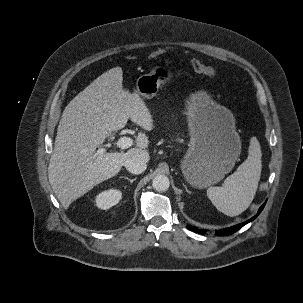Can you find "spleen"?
I'll return each mask as SVG.
<instances>
[{
  "mask_svg": "<svg viewBox=\"0 0 303 303\" xmlns=\"http://www.w3.org/2000/svg\"><path fill=\"white\" fill-rule=\"evenodd\" d=\"M248 152L247 159L225 179L223 186L207 190L213 205L231 217L241 214L250 206L258 188L262 153L256 137L250 139Z\"/></svg>",
  "mask_w": 303,
  "mask_h": 303,
  "instance_id": "1",
  "label": "spleen"
}]
</instances>
